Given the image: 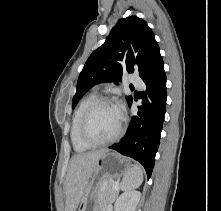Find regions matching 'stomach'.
Here are the masks:
<instances>
[{"mask_svg": "<svg viewBox=\"0 0 221 211\" xmlns=\"http://www.w3.org/2000/svg\"><path fill=\"white\" fill-rule=\"evenodd\" d=\"M130 168V161L117 153L107 152L100 156L86 179L78 211H98V187L103 182L125 175Z\"/></svg>", "mask_w": 221, "mask_h": 211, "instance_id": "1", "label": "stomach"}]
</instances>
